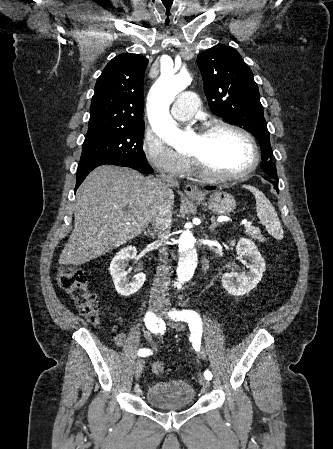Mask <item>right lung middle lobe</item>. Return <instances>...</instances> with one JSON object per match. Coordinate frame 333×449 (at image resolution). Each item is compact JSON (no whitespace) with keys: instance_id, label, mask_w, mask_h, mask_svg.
<instances>
[{"instance_id":"obj_1","label":"right lung middle lobe","mask_w":333,"mask_h":449,"mask_svg":"<svg viewBox=\"0 0 333 449\" xmlns=\"http://www.w3.org/2000/svg\"><path fill=\"white\" fill-rule=\"evenodd\" d=\"M143 123L88 128L80 162L119 160L133 164H148L143 148Z\"/></svg>"}]
</instances>
